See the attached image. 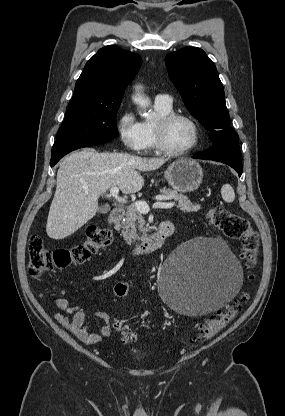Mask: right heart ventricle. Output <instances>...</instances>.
I'll use <instances>...</instances> for the list:
<instances>
[{"instance_id":"1","label":"right heart ventricle","mask_w":285,"mask_h":416,"mask_svg":"<svg viewBox=\"0 0 285 416\" xmlns=\"http://www.w3.org/2000/svg\"><path fill=\"white\" fill-rule=\"evenodd\" d=\"M155 108L159 117L172 112V106L165 105L161 102H155ZM156 120L142 121V129H143V133L145 136V148L148 150L157 149L156 144H155V135H154V124Z\"/></svg>"}]
</instances>
